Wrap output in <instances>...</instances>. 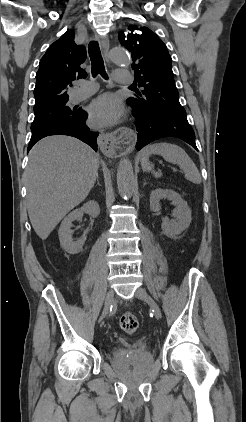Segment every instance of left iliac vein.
Here are the masks:
<instances>
[{"instance_id": "left-iliac-vein-1", "label": "left iliac vein", "mask_w": 246, "mask_h": 422, "mask_svg": "<svg viewBox=\"0 0 246 422\" xmlns=\"http://www.w3.org/2000/svg\"><path fill=\"white\" fill-rule=\"evenodd\" d=\"M135 297L147 302L150 305L151 309L153 310L155 318L158 320L161 319L162 313H161L160 307L158 306L156 301L146 292L145 289L138 288L135 291Z\"/></svg>"}]
</instances>
